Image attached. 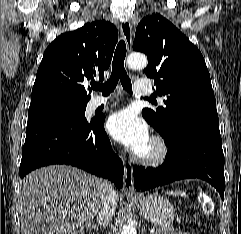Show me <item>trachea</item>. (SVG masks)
Returning <instances> with one entry per match:
<instances>
[{
	"label": "trachea",
	"instance_id": "obj_1",
	"mask_svg": "<svg viewBox=\"0 0 241 234\" xmlns=\"http://www.w3.org/2000/svg\"><path fill=\"white\" fill-rule=\"evenodd\" d=\"M126 57V44L121 40L114 53L112 63V73L110 79L105 84H95L92 86L95 90H100L104 96H108L114 91L118 81L120 80L124 89L131 93V80L129 79L124 68V60Z\"/></svg>",
	"mask_w": 241,
	"mask_h": 234
}]
</instances>
